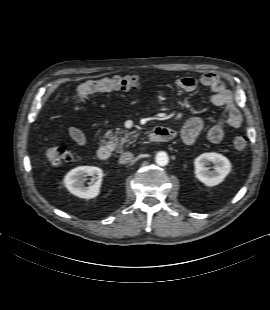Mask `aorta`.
I'll return each instance as SVG.
<instances>
[{
  "mask_svg": "<svg viewBox=\"0 0 270 310\" xmlns=\"http://www.w3.org/2000/svg\"><path fill=\"white\" fill-rule=\"evenodd\" d=\"M155 160L159 166H166L169 162L167 153L163 151L156 154Z\"/></svg>",
  "mask_w": 270,
  "mask_h": 310,
  "instance_id": "aorta-1",
  "label": "aorta"
}]
</instances>
